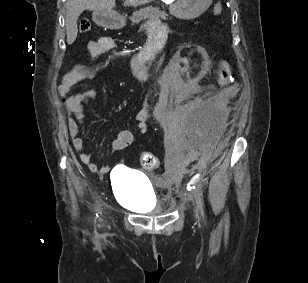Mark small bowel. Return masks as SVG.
<instances>
[{"instance_id":"obj_1","label":"small bowel","mask_w":308,"mask_h":283,"mask_svg":"<svg viewBox=\"0 0 308 283\" xmlns=\"http://www.w3.org/2000/svg\"><path fill=\"white\" fill-rule=\"evenodd\" d=\"M145 30L148 33L149 39L158 30L165 29L163 25L157 21L149 22L145 26ZM116 47L115 42L110 37H101L97 40L90 41L87 46V50L92 57H99L105 53L112 51ZM129 73L132 77L140 80L147 81L149 78L148 71L144 68L140 56H133L129 60L128 64ZM95 74L92 70L85 67H75L66 72L59 85V92L67 97V109L69 112L68 127L72 137V144L74 149L79 153L80 160L94 173L106 174L110 168L108 166L98 167L91 159L90 155L85 151V144L81 137L78 136L80 130L84 128V112L83 105L88 100L96 96L93 90H84L75 95L70 94V89L76 84L84 80H92ZM182 93H177L171 99L168 94L163 95L157 103L154 110V116L157 119H164L168 114V108L171 103H180L184 100ZM152 116V110L150 108H144L140 110L136 115L137 121V133L146 134L148 131V122ZM134 139V134L130 130H121L116 138L111 142V147L115 151H120L129 146Z\"/></svg>"}]
</instances>
